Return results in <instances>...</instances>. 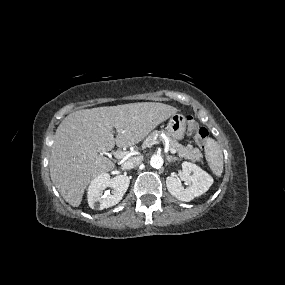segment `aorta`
<instances>
[{"label":"aorta","mask_w":285,"mask_h":285,"mask_svg":"<svg viewBox=\"0 0 285 285\" xmlns=\"http://www.w3.org/2000/svg\"><path fill=\"white\" fill-rule=\"evenodd\" d=\"M164 160L163 157L159 154H154L150 158V165L153 168L159 169L163 166Z\"/></svg>","instance_id":"aorta-1"}]
</instances>
